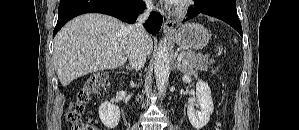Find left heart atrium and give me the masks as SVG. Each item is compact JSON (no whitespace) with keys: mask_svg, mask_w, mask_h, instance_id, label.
Here are the masks:
<instances>
[{"mask_svg":"<svg viewBox=\"0 0 299 130\" xmlns=\"http://www.w3.org/2000/svg\"><path fill=\"white\" fill-rule=\"evenodd\" d=\"M167 2L170 3V4H177L180 1L179 0H168Z\"/></svg>","mask_w":299,"mask_h":130,"instance_id":"obj_1","label":"left heart atrium"}]
</instances>
